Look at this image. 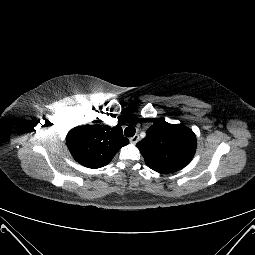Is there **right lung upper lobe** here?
<instances>
[{"instance_id":"cb5924a9","label":"right lung upper lobe","mask_w":255,"mask_h":255,"mask_svg":"<svg viewBox=\"0 0 255 255\" xmlns=\"http://www.w3.org/2000/svg\"><path fill=\"white\" fill-rule=\"evenodd\" d=\"M66 143L77 162L96 169L107 165L129 140L123 136L120 126L95 124L73 128L67 134Z\"/></svg>"}]
</instances>
